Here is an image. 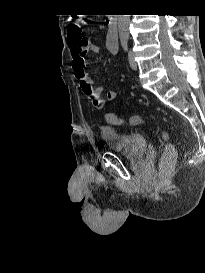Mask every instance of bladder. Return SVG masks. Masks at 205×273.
<instances>
[{
	"label": "bladder",
	"mask_w": 205,
	"mask_h": 273,
	"mask_svg": "<svg viewBox=\"0 0 205 273\" xmlns=\"http://www.w3.org/2000/svg\"><path fill=\"white\" fill-rule=\"evenodd\" d=\"M100 138L104 145L124 156L138 160L143 158L148 149V140L137 132L121 133L110 126L100 128Z\"/></svg>",
	"instance_id": "31cf9c89"
}]
</instances>
